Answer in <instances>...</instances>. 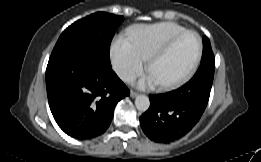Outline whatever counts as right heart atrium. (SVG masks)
I'll use <instances>...</instances> for the list:
<instances>
[{
    "mask_svg": "<svg viewBox=\"0 0 261 162\" xmlns=\"http://www.w3.org/2000/svg\"><path fill=\"white\" fill-rule=\"evenodd\" d=\"M110 60L117 75L124 81H131L140 75L145 60L134 49L127 38H117L110 49Z\"/></svg>",
    "mask_w": 261,
    "mask_h": 162,
    "instance_id": "obj_1",
    "label": "right heart atrium"
}]
</instances>
